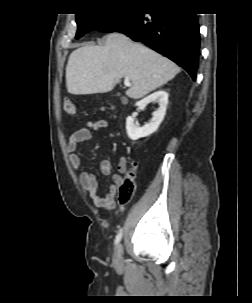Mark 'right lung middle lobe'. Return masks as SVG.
Returning <instances> with one entry per match:
<instances>
[{"label": "right lung middle lobe", "mask_w": 252, "mask_h": 303, "mask_svg": "<svg viewBox=\"0 0 252 303\" xmlns=\"http://www.w3.org/2000/svg\"><path fill=\"white\" fill-rule=\"evenodd\" d=\"M126 13L127 12L76 14L78 25L76 38L83 36L87 32L100 30Z\"/></svg>", "instance_id": "1"}]
</instances>
